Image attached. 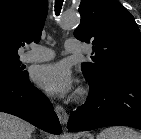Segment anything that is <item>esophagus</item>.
<instances>
[{
	"label": "esophagus",
	"instance_id": "obj_1",
	"mask_svg": "<svg viewBox=\"0 0 141 139\" xmlns=\"http://www.w3.org/2000/svg\"><path fill=\"white\" fill-rule=\"evenodd\" d=\"M55 112L58 116L60 123L65 126L68 122V115L66 110L61 105H56Z\"/></svg>",
	"mask_w": 141,
	"mask_h": 139
}]
</instances>
